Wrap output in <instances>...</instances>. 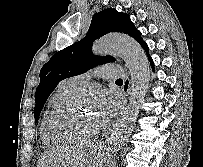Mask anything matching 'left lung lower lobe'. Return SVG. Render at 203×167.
Wrapping results in <instances>:
<instances>
[{"mask_svg": "<svg viewBox=\"0 0 203 167\" xmlns=\"http://www.w3.org/2000/svg\"><path fill=\"white\" fill-rule=\"evenodd\" d=\"M142 47H143L144 50L147 52V56H148V58H149V61H150L151 65H153V61H152L150 55L148 54V46H147V44H146L145 42L142 44Z\"/></svg>", "mask_w": 203, "mask_h": 167, "instance_id": "obj_1", "label": "left lung lower lobe"}]
</instances>
